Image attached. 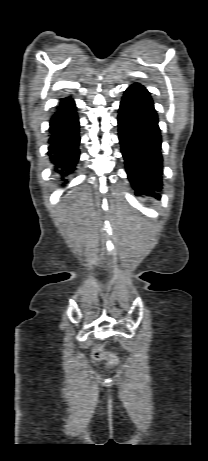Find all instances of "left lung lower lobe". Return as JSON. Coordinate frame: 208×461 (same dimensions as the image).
Instances as JSON below:
<instances>
[{
	"mask_svg": "<svg viewBox=\"0 0 208 461\" xmlns=\"http://www.w3.org/2000/svg\"><path fill=\"white\" fill-rule=\"evenodd\" d=\"M118 127L126 172L136 195H154L162 189V140L157 112L143 85L134 83L124 92Z\"/></svg>",
	"mask_w": 208,
	"mask_h": 461,
	"instance_id": "obj_1",
	"label": "left lung lower lobe"
}]
</instances>
